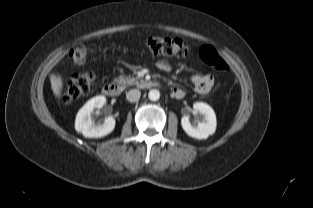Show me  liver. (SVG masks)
<instances>
[{"label": "liver", "mask_w": 313, "mask_h": 208, "mask_svg": "<svg viewBox=\"0 0 313 208\" xmlns=\"http://www.w3.org/2000/svg\"><path fill=\"white\" fill-rule=\"evenodd\" d=\"M50 82H51V88L53 90V93L56 97L61 96L62 88H63V81L60 76H56L52 74L50 76Z\"/></svg>", "instance_id": "1"}]
</instances>
